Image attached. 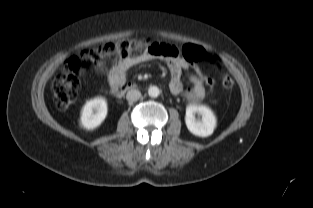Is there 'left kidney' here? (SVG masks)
Listing matches in <instances>:
<instances>
[{"label":"left kidney","instance_id":"obj_1","mask_svg":"<svg viewBox=\"0 0 313 208\" xmlns=\"http://www.w3.org/2000/svg\"><path fill=\"white\" fill-rule=\"evenodd\" d=\"M195 114L201 116V120H197ZM185 123L192 134L199 137H208L214 132L216 117L209 107L191 104L186 107Z\"/></svg>","mask_w":313,"mask_h":208}]
</instances>
